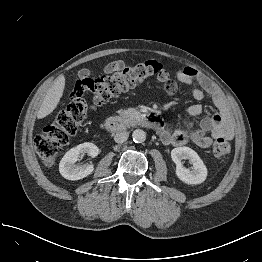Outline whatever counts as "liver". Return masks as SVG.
I'll use <instances>...</instances> for the list:
<instances>
[{
	"label": "liver",
	"mask_w": 262,
	"mask_h": 262,
	"mask_svg": "<svg viewBox=\"0 0 262 262\" xmlns=\"http://www.w3.org/2000/svg\"><path fill=\"white\" fill-rule=\"evenodd\" d=\"M65 88V77L64 75H60L55 80L54 84L48 90L45 98L39 108L37 118L43 119L49 114H51L54 109L57 107L60 99L63 95V91Z\"/></svg>",
	"instance_id": "1"
}]
</instances>
